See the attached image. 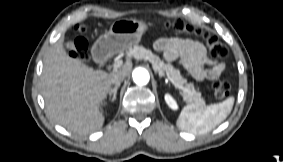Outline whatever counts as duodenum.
<instances>
[{
  "label": "duodenum",
  "instance_id": "1",
  "mask_svg": "<svg viewBox=\"0 0 283 162\" xmlns=\"http://www.w3.org/2000/svg\"><path fill=\"white\" fill-rule=\"evenodd\" d=\"M97 57H98V59H99V62L101 63V64H104L105 62H106V57H105V55L102 53V52H98L97 53Z\"/></svg>",
  "mask_w": 283,
  "mask_h": 162
}]
</instances>
